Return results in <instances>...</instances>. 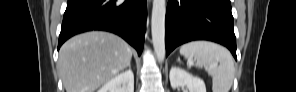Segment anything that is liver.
Wrapping results in <instances>:
<instances>
[{"label": "liver", "mask_w": 296, "mask_h": 92, "mask_svg": "<svg viewBox=\"0 0 296 92\" xmlns=\"http://www.w3.org/2000/svg\"><path fill=\"white\" fill-rule=\"evenodd\" d=\"M131 58V48L122 38L91 31L62 45L57 68L66 92H95L125 69Z\"/></svg>", "instance_id": "obj_1"}]
</instances>
